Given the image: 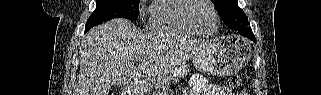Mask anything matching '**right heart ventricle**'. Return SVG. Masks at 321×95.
I'll list each match as a JSON object with an SVG mask.
<instances>
[{
	"instance_id": "obj_1",
	"label": "right heart ventricle",
	"mask_w": 321,
	"mask_h": 95,
	"mask_svg": "<svg viewBox=\"0 0 321 95\" xmlns=\"http://www.w3.org/2000/svg\"><path fill=\"white\" fill-rule=\"evenodd\" d=\"M188 0H153L149 7L148 23L152 30L196 36L184 21L183 12Z\"/></svg>"
}]
</instances>
